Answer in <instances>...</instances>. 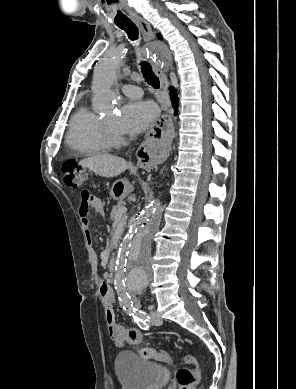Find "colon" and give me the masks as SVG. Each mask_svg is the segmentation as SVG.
Instances as JSON below:
<instances>
[{
	"instance_id": "1",
	"label": "colon",
	"mask_w": 296,
	"mask_h": 389,
	"mask_svg": "<svg viewBox=\"0 0 296 389\" xmlns=\"http://www.w3.org/2000/svg\"><path fill=\"white\" fill-rule=\"evenodd\" d=\"M62 172L64 174V182L70 188H79L83 185L86 177L85 170L76 162L69 161L63 164ZM141 354L146 359H154L160 362L167 363L170 361V355L165 350L156 351L150 347H144ZM184 362L191 368L183 367L177 371V382L179 389H196L199 380V363L194 355H185Z\"/></svg>"
}]
</instances>
